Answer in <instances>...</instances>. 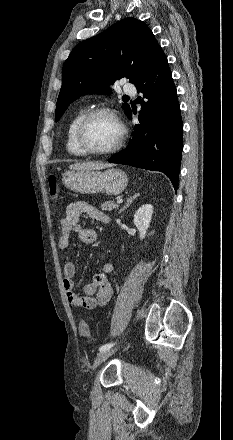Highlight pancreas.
I'll return each mask as SVG.
<instances>
[{"label": "pancreas", "mask_w": 233, "mask_h": 440, "mask_svg": "<svg viewBox=\"0 0 233 440\" xmlns=\"http://www.w3.org/2000/svg\"><path fill=\"white\" fill-rule=\"evenodd\" d=\"M100 208L103 211H112L113 209L118 208V205L114 203V201H106L101 204Z\"/></svg>", "instance_id": "obj_1"}]
</instances>
